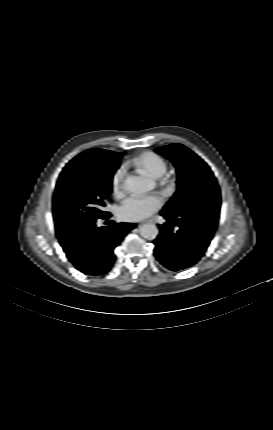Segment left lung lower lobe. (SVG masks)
Wrapping results in <instances>:
<instances>
[{
  "label": "left lung lower lobe",
  "mask_w": 273,
  "mask_h": 430,
  "mask_svg": "<svg viewBox=\"0 0 273 430\" xmlns=\"http://www.w3.org/2000/svg\"><path fill=\"white\" fill-rule=\"evenodd\" d=\"M200 202L191 212V217L177 218L175 214L162 210L167 222L160 225V234L153 241L154 254L160 263L172 271L196 264L204 255L216 230L220 204Z\"/></svg>",
  "instance_id": "obj_1"
}]
</instances>
